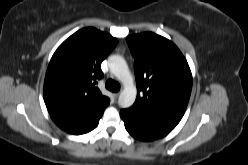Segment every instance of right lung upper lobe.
<instances>
[{"mask_svg": "<svg viewBox=\"0 0 248 165\" xmlns=\"http://www.w3.org/2000/svg\"><path fill=\"white\" fill-rule=\"evenodd\" d=\"M118 41L95 28L81 29L66 39L52 56L44 81V101L53 121L79 135L99 122L108 97L97 87L101 63Z\"/></svg>", "mask_w": 248, "mask_h": 165, "instance_id": "1", "label": "right lung upper lobe"}]
</instances>
